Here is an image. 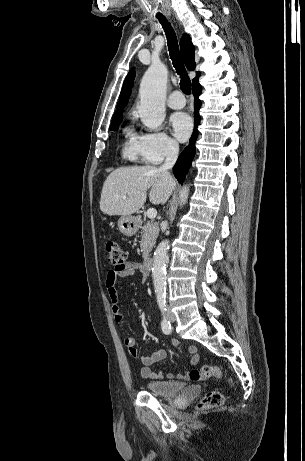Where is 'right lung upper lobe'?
<instances>
[{"mask_svg":"<svg viewBox=\"0 0 305 461\" xmlns=\"http://www.w3.org/2000/svg\"><path fill=\"white\" fill-rule=\"evenodd\" d=\"M180 50L183 61L189 70L195 69V58H194V45L191 42V38L188 34H183L180 40ZM135 77L134 68H132L123 84V88L119 97V101L117 103L116 112L113 115L112 123L117 121H122L123 110L127 105L129 96L131 94V88L133 86V80ZM199 72H197V77L193 79V83L198 81Z\"/></svg>","mask_w":305,"mask_h":461,"instance_id":"obj_1","label":"right lung upper lobe"}]
</instances>
